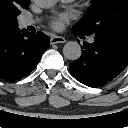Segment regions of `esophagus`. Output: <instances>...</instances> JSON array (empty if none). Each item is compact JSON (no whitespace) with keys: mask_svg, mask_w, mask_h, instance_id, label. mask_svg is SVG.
Returning a JSON list of instances; mask_svg holds the SVG:
<instances>
[{"mask_svg":"<svg viewBox=\"0 0 128 128\" xmlns=\"http://www.w3.org/2000/svg\"><path fill=\"white\" fill-rule=\"evenodd\" d=\"M66 39L62 36H52L50 38V43L51 44H58V43H65Z\"/></svg>","mask_w":128,"mask_h":128,"instance_id":"34e87169","label":"esophagus"}]
</instances>
